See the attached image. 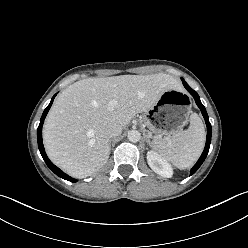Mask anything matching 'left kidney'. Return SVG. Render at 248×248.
I'll use <instances>...</instances> for the list:
<instances>
[{
    "instance_id": "obj_1",
    "label": "left kidney",
    "mask_w": 248,
    "mask_h": 248,
    "mask_svg": "<svg viewBox=\"0 0 248 248\" xmlns=\"http://www.w3.org/2000/svg\"><path fill=\"white\" fill-rule=\"evenodd\" d=\"M147 162L150 168L163 177H171L173 174L170 164L155 151L147 152Z\"/></svg>"
}]
</instances>
